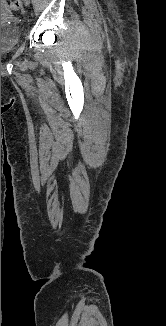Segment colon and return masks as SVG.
Segmentation results:
<instances>
[{
	"mask_svg": "<svg viewBox=\"0 0 166 326\" xmlns=\"http://www.w3.org/2000/svg\"><path fill=\"white\" fill-rule=\"evenodd\" d=\"M10 7L13 9V10H18L21 8V2L20 0H13L11 1L10 3Z\"/></svg>",
	"mask_w": 166,
	"mask_h": 326,
	"instance_id": "obj_1",
	"label": "colon"
}]
</instances>
